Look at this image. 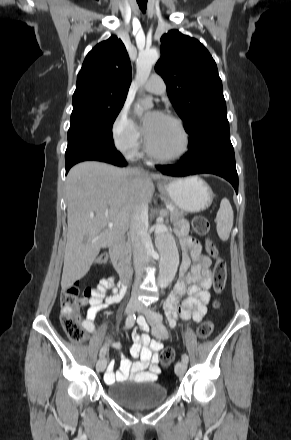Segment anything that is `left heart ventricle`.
Returning a JSON list of instances; mask_svg holds the SVG:
<instances>
[{"mask_svg": "<svg viewBox=\"0 0 291 440\" xmlns=\"http://www.w3.org/2000/svg\"><path fill=\"white\" fill-rule=\"evenodd\" d=\"M151 146L161 155L174 156L182 149V135L176 125L165 118L160 117L147 134Z\"/></svg>", "mask_w": 291, "mask_h": 440, "instance_id": "b2bd125f", "label": "left heart ventricle"}]
</instances>
